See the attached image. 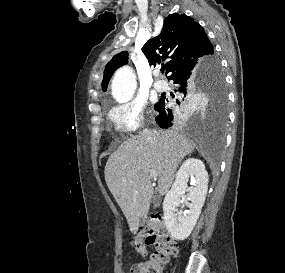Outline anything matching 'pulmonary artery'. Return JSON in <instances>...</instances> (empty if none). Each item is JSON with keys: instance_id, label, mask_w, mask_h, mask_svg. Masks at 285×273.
<instances>
[{"instance_id": "1", "label": "pulmonary artery", "mask_w": 285, "mask_h": 273, "mask_svg": "<svg viewBox=\"0 0 285 273\" xmlns=\"http://www.w3.org/2000/svg\"><path fill=\"white\" fill-rule=\"evenodd\" d=\"M154 75L157 77L156 81L153 84L154 89L159 92L167 90L168 84L166 81L159 78V70H155Z\"/></svg>"}]
</instances>
